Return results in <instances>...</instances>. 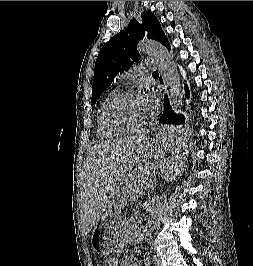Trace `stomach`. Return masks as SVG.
I'll return each mask as SVG.
<instances>
[{
  "label": "stomach",
  "mask_w": 253,
  "mask_h": 266,
  "mask_svg": "<svg viewBox=\"0 0 253 266\" xmlns=\"http://www.w3.org/2000/svg\"><path fill=\"white\" fill-rule=\"evenodd\" d=\"M167 138L185 137L171 127H163L159 129L155 141L149 142L143 140L136 146L133 154L120 164L110 183L109 198L105 210L101 215L99 224L95 227L91 235V246L95 253L109 255L118 245L120 239L119 229L122 221L119 198L123 175L134 166L141 165L150 160L155 152L160 151V146L168 149L166 144Z\"/></svg>",
  "instance_id": "obj_1"
}]
</instances>
